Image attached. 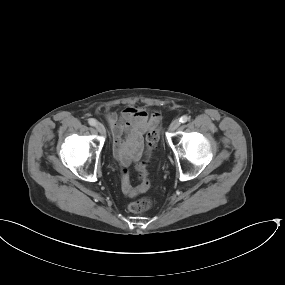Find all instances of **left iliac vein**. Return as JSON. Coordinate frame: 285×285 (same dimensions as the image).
Segmentation results:
<instances>
[{
  "label": "left iliac vein",
  "instance_id": "left-iliac-vein-1",
  "mask_svg": "<svg viewBox=\"0 0 285 285\" xmlns=\"http://www.w3.org/2000/svg\"><path fill=\"white\" fill-rule=\"evenodd\" d=\"M179 126H180V121L178 119H175L171 122V124L169 126V130L171 132H173V131L177 130Z\"/></svg>",
  "mask_w": 285,
  "mask_h": 285
}]
</instances>
